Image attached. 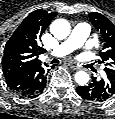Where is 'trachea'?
I'll list each match as a JSON object with an SVG mask.
<instances>
[{
    "label": "trachea",
    "instance_id": "trachea-1",
    "mask_svg": "<svg viewBox=\"0 0 115 119\" xmlns=\"http://www.w3.org/2000/svg\"><path fill=\"white\" fill-rule=\"evenodd\" d=\"M53 63H59V60L53 59V60L51 61V64H53Z\"/></svg>",
    "mask_w": 115,
    "mask_h": 119
}]
</instances>
